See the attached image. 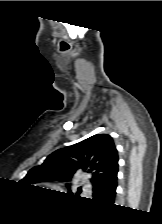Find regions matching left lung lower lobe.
Returning <instances> with one entry per match:
<instances>
[{"label": "left lung lower lobe", "instance_id": "1", "mask_svg": "<svg viewBox=\"0 0 162 224\" xmlns=\"http://www.w3.org/2000/svg\"><path fill=\"white\" fill-rule=\"evenodd\" d=\"M117 173L118 170L114 171L100 186L93 188L94 200L108 204L114 202L117 187Z\"/></svg>", "mask_w": 162, "mask_h": 224}]
</instances>
